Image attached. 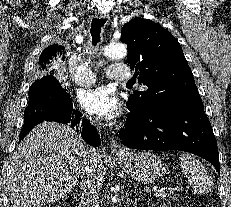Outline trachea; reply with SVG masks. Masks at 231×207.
Segmentation results:
<instances>
[{"instance_id":"1","label":"trachea","mask_w":231,"mask_h":207,"mask_svg":"<svg viewBox=\"0 0 231 207\" xmlns=\"http://www.w3.org/2000/svg\"><path fill=\"white\" fill-rule=\"evenodd\" d=\"M106 21L107 19L93 18L90 28L93 46H96L100 42L101 28L104 26Z\"/></svg>"}]
</instances>
